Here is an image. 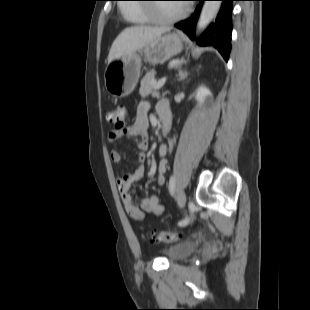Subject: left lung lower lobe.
Here are the masks:
<instances>
[{
    "instance_id": "obj_1",
    "label": "left lung lower lobe",
    "mask_w": 310,
    "mask_h": 310,
    "mask_svg": "<svg viewBox=\"0 0 310 310\" xmlns=\"http://www.w3.org/2000/svg\"><path fill=\"white\" fill-rule=\"evenodd\" d=\"M200 1L195 13L184 21L175 25L176 28L183 30L191 39H194L195 25L197 23L203 1ZM222 1L221 9L214 23L210 24L205 32L197 39V43L203 46H213L221 53L223 58L228 61L231 50V11L232 2L235 0Z\"/></svg>"
}]
</instances>
